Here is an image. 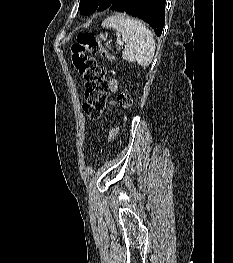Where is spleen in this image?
<instances>
[{"instance_id": "3e777b00", "label": "spleen", "mask_w": 233, "mask_h": 263, "mask_svg": "<svg viewBox=\"0 0 233 263\" xmlns=\"http://www.w3.org/2000/svg\"><path fill=\"white\" fill-rule=\"evenodd\" d=\"M103 28L116 30L124 42L122 58L142 67L151 64L155 54V41L151 31L139 20L117 13L102 22Z\"/></svg>"}]
</instances>
